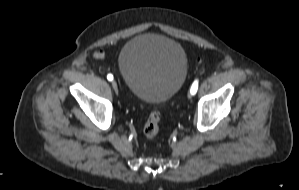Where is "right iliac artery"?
Listing matches in <instances>:
<instances>
[{
  "mask_svg": "<svg viewBox=\"0 0 299 190\" xmlns=\"http://www.w3.org/2000/svg\"><path fill=\"white\" fill-rule=\"evenodd\" d=\"M107 79H108L109 81H112V80H113V75H112V74H108V75H107Z\"/></svg>",
  "mask_w": 299,
  "mask_h": 190,
  "instance_id": "82829eb1",
  "label": "right iliac artery"
}]
</instances>
